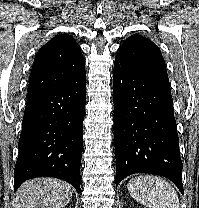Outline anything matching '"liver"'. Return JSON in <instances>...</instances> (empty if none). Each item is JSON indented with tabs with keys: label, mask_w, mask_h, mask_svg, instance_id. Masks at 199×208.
<instances>
[{
	"label": "liver",
	"mask_w": 199,
	"mask_h": 208,
	"mask_svg": "<svg viewBox=\"0 0 199 208\" xmlns=\"http://www.w3.org/2000/svg\"><path fill=\"white\" fill-rule=\"evenodd\" d=\"M72 193V186L59 179H31L18 189L15 208H64Z\"/></svg>",
	"instance_id": "liver-1"
}]
</instances>
